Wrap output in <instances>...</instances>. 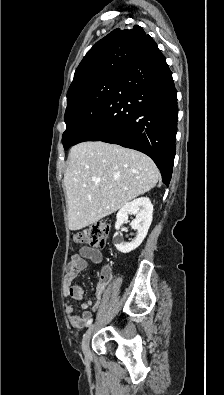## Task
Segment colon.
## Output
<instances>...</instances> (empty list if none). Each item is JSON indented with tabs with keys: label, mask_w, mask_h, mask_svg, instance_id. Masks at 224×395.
I'll return each mask as SVG.
<instances>
[{
	"label": "colon",
	"mask_w": 224,
	"mask_h": 395,
	"mask_svg": "<svg viewBox=\"0 0 224 395\" xmlns=\"http://www.w3.org/2000/svg\"><path fill=\"white\" fill-rule=\"evenodd\" d=\"M109 226L107 223H98L77 232L74 241L78 244H86L92 248H102L107 240Z\"/></svg>",
	"instance_id": "obj_1"
}]
</instances>
